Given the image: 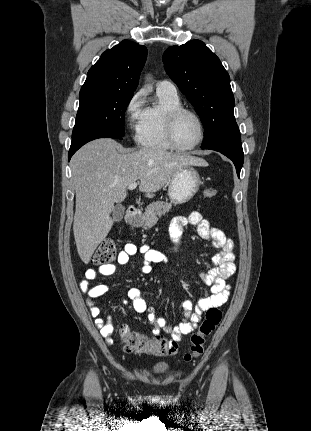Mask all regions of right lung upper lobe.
I'll list each match as a JSON object with an SVG mask.
<instances>
[{
	"instance_id": "cb5924a9",
	"label": "right lung upper lobe",
	"mask_w": 311,
	"mask_h": 431,
	"mask_svg": "<svg viewBox=\"0 0 311 431\" xmlns=\"http://www.w3.org/2000/svg\"><path fill=\"white\" fill-rule=\"evenodd\" d=\"M147 58V48L124 40L106 50L87 73L80 92L101 90L133 94Z\"/></svg>"
}]
</instances>
